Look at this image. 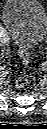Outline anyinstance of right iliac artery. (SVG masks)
Listing matches in <instances>:
<instances>
[{"label": "right iliac artery", "instance_id": "1", "mask_svg": "<svg viewBox=\"0 0 47 129\" xmlns=\"http://www.w3.org/2000/svg\"><path fill=\"white\" fill-rule=\"evenodd\" d=\"M0 38H1V42H3V41H5V40H7V37H6V34L4 33V31H3V29H2V27H0Z\"/></svg>", "mask_w": 47, "mask_h": 129}]
</instances>
